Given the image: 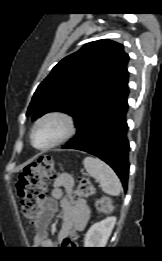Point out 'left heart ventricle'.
<instances>
[{"label": "left heart ventricle", "instance_id": "obj_1", "mask_svg": "<svg viewBox=\"0 0 162 261\" xmlns=\"http://www.w3.org/2000/svg\"><path fill=\"white\" fill-rule=\"evenodd\" d=\"M62 125L58 121H47L40 125L34 134V143L41 147L52 142L61 132Z\"/></svg>", "mask_w": 162, "mask_h": 261}]
</instances>
